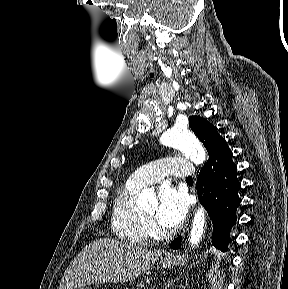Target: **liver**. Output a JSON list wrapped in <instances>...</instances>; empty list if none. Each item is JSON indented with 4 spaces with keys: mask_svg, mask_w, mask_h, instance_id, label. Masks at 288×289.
Here are the masks:
<instances>
[{
    "mask_svg": "<svg viewBox=\"0 0 288 289\" xmlns=\"http://www.w3.org/2000/svg\"><path fill=\"white\" fill-rule=\"evenodd\" d=\"M161 254V250L114 239L95 240L85 246L65 270L59 289L133 281L149 270Z\"/></svg>",
    "mask_w": 288,
    "mask_h": 289,
    "instance_id": "liver-1",
    "label": "liver"
}]
</instances>
